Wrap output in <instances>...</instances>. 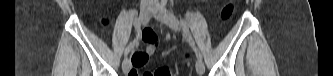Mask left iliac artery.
I'll use <instances>...</instances> for the list:
<instances>
[{
  "mask_svg": "<svg viewBox=\"0 0 333 76\" xmlns=\"http://www.w3.org/2000/svg\"><path fill=\"white\" fill-rule=\"evenodd\" d=\"M180 23H181V26L183 27V29L186 31V33L188 35L187 40H188L189 44L193 47V49L195 51V54H196V57L198 59L202 60V55H201L200 51L198 50V48L196 47L195 42L193 41L191 35L188 32L186 20L181 18Z\"/></svg>",
  "mask_w": 333,
  "mask_h": 76,
  "instance_id": "44dca946",
  "label": "left iliac artery"
}]
</instances>
